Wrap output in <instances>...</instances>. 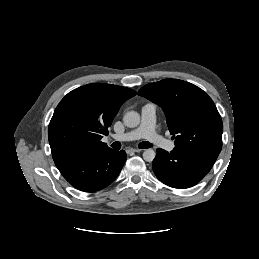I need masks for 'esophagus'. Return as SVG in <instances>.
<instances>
[{
	"instance_id": "obj_1",
	"label": "esophagus",
	"mask_w": 259,
	"mask_h": 259,
	"mask_svg": "<svg viewBox=\"0 0 259 259\" xmlns=\"http://www.w3.org/2000/svg\"><path fill=\"white\" fill-rule=\"evenodd\" d=\"M129 152H136V153H139L141 152L142 150L141 149H135V148H131L128 150Z\"/></svg>"
}]
</instances>
